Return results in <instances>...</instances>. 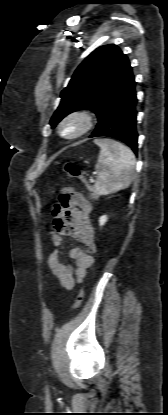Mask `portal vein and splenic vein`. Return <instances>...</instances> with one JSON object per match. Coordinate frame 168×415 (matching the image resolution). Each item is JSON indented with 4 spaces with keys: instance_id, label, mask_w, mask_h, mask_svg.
<instances>
[{
    "instance_id": "1",
    "label": "portal vein and splenic vein",
    "mask_w": 168,
    "mask_h": 415,
    "mask_svg": "<svg viewBox=\"0 0 168 415\" xmlns=\"http://www.w3.org/2000/svg\"><path fill=\"white\" fill-rule=\"evenodd\" d=\"M90 181H91V182H94V179H93V177H90Z\"/></svg>"
}]
</instances>
